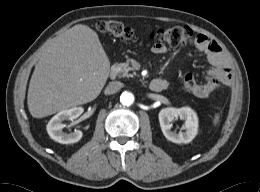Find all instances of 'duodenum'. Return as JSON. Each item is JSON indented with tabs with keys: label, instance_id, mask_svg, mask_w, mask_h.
I'll list each match as a JSON object with an SVG mask.
<instances>
[{
	"label": "duodenum",
	"instance_id": "1",
	"mask_svg": "<svg viewBox=\"0 0 260 192\" xmlns=\"http://www.w3.org/2000/svg\"><path fill=\"white\" fill-rule=\"evenodd\" d=\"M116 77V71L115 69L110 70V78L114 79ZM167 87L165 81L162 79H154L150 82L149 88L153 92H160L164 90Z\"/></svg>",
	"mask_w": 260,
	"mask_h": 192
}]
</instances>
